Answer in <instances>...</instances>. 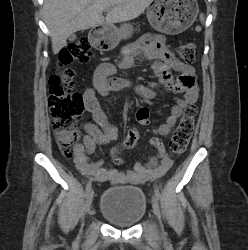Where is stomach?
I'll return each mask as SVG.
<instances>
[{
	"label": "stomach",
	"mask_w": 248,
	"mask_h": 250,
	"mask_svg": "<svg viewBox=\"0 0 248 250\" xmlns=\"http://www.w3.org/2000/svg\"><path fill=\"white\" fill-rule=\"evenodd\" d=\"M199 7L196 0H155L147 8L150 25L161 33L179 34L188 29L196 20ZM103 38L107 41L106 49L115 48L121 39L132 35V26L123 24L119 28L113 25L103 27Z\"/></svg>",
	"instance_id": "obj_1"
}]
</instances>
